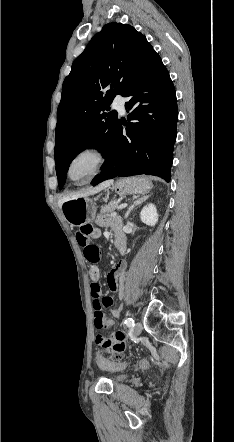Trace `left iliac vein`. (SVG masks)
Returning <instances> with one entry per match:
<instances>
[{
    "label": "left iliac vein",
    "mask_w": 234,
    "mask_h": 442,
    "mask_svg": "<svg viewBox=\"0 0 234 442\" xmlns=\"http://www.w3.org/2000/svg\"><path fill=\"white\" fill-rule=\"evenodd\" d=\"M142 331V324L140 322H136L132 328V332L134 336H138Z\"/></svg>",
    "instance_id": "obj_1"
}]
</instances>
